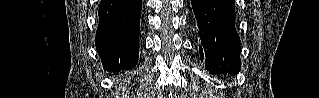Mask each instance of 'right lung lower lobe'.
Listing matches in <instances>:
<instances>
[{
    "label": "right lung lower lobe",
    "mask_w": 319,
    "mask_h": 98,
    "mask_svg": "<svg viewBox=\"0 0 319 98\" xmlns=\"http://www.w3.org/2000/svg\"><path fill=\"white\" fill-rule=\"evenodd\" d=\"M142 0H101L96 49L105 70L116 73L136 66Z\"/></svg>",
    "instance_id": "obj_1"
}]
</instances>
